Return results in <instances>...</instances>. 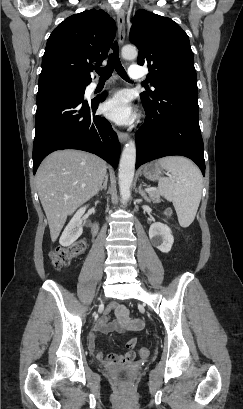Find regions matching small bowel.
<instances>
[{
    "label": "small bowel",
    "instance_id": "c3829d8e",
    "mask_svg": "<svg viewBox=\"0 0 243 409\" xmlns=\"http://www.w3.org/2000/svg\"><path fill=\"white\" fill-rule=\"evenodd\" d=\"M143 327L141 319H132L128 315L126 306L122 303H113L104 310L103 316L99 319L94 330L88 340V347L91 353L96 358L107 364L112 365L117 362L127 363L131 361L135 352L134 349L137 344L135 338H131L126 342L127 352L123 355H105L98 347L96 336L99 334L116 331L120 335H125L130 331H139Z\"/></svg>",
    "mask_w": 243,
    "mask_h": 409
}]
</instances>
